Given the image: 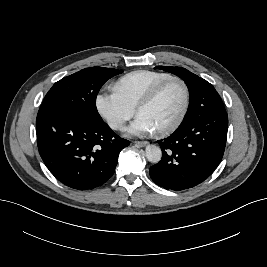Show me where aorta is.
Returning <instances> with one entry per match:
<instances>
[{"label": "aorta", "mask_w": 267, "mask_h": 267, "mask_svg": "<svg viewBox=\"0 0 267 267\" xmlns=\"http://www.w3.org/2000/svg\"><path fill=\"white\" fill-rule=\"evenodd\" d=\"M146 158L151 163H158L162 158V151L159 146L148 145L146 147Z\"/></svg>", "instance_id": "1"}]
</instances>
